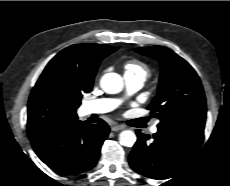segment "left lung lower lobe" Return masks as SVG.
Instances as JSON below:
<instances>
[{
	"instance_id": "1",
	"label": "left lung lower lobe",
	"mask_w": 230,
	"mask_h": 186,
	"mask_svg": "<svg viewBox=\"0 0 230 186\" xmlns=\"http://www.w3.org/2000/svg\"><path fill=\"white\" fill-rule=\"evenodd\" d=\"M137 142L129 155L131 168L153 179H168L186 166L200 149L204 129L158 127L150 136L136 131Z\"/></svg>"
}]
</instances>
